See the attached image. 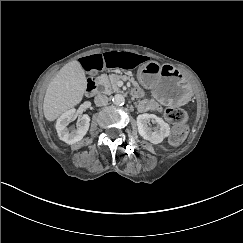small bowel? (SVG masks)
<instances>
[{"label":"small bowel","instance_id":"1","mask_svg":"<svg viewBox=\"0 0 243 243\" xmlns=\"http://www.w3.org/2000/svg\"><path fill=\"white\" fill-rule=\"evenodd\" d=\"M146 61L140 54L129 51H109L92 54L81 59V64L86 71H100L105 68L133 69ZM149 109L160 110V107L151 101L143 102L140 105L141 111Z\"/></svg>","mask_w":243,"mask_h":243}]
</instances>
